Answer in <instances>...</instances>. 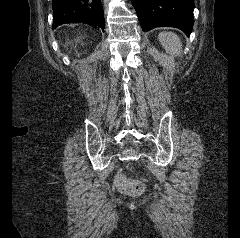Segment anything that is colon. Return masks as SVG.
Masks as SVG:
<instances>
[{"label":"colon","mask_w":240,"mask_h":238,"mask_svg":"<svg viewBox=\"0 0 240 238\" xmlns=\"http://www.w3.org/2000/svg\"><path fill=\"white\" fill-rule=\"evenodd\" d=\"M115 183L119 190L130 196H138L144 192V184L140 180L127 178L123 174L117 175Z\"/></svg>","instance_id":"obj_1"}]
</instances>
